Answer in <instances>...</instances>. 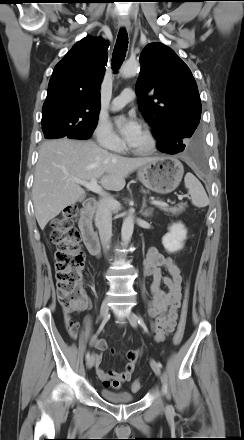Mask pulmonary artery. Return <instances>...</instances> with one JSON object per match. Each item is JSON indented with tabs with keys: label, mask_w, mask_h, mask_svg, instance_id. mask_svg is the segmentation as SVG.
<instances>
[{
	"label": "pulmonary artery",
	"mask_w": 244,
	"mask_h": 440,
	"mask_svg": "<svg viewBox=\"0 0 244 440\" xmlns=\"http://www.w3.org/2000/svg\"><path fill=\"white\" fill-rule=\"evenodd\" d=\"M134 99V92L130 89H125L121 92V94L115 98L111 105L110 109L112 111H118L122 109L126 104L130 103Z\"/></svg>",
	"instance_id": "e3ab8cb5"
}]
</instances>
